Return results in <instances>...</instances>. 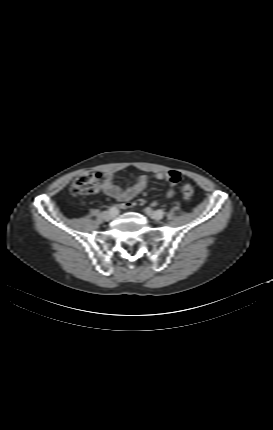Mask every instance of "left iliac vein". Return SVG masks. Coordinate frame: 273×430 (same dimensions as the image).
I'll return each mask as SVG.
<instances>
[{"mask_svg":"<svg viewBox=\"0 0 273 430\" xmlns=\"http://www.w3.org/2000/svg\"><path fill=\"white\" fill-rule=\"evenodd\" d=\"M145 213L150 217V218H152V219H154V220H160V219H162V217L158 214V212L157 211H153L151 208H146L145 209Z\"/></svg>","mask_w":273,"mask_h":430,"instance_id":"left-iliac-vein-1","label":"left iliac vein"}]
</instances>
